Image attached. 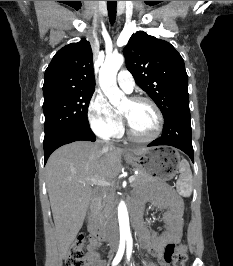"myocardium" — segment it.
Here are the masks:
<instances>
[{"mask_svg": "<svg viewBox=\"0 0 233 266\" xmlns=\"http://www.w3.org/2000/svg\"><path fill=\"white\" fill-rule=\"evenodd\" d=\"M129 101L133 103L144 102V103L150 104L153 107L156 113V116H157V126L152 135L147 136V137H140L133 132L127 117L121 112V115L125 122V128H126V133L128 137L132 141L138 142V143H149V142L156 140L161 135L163 127H164V116H163V113L160 107L157 105V103L154 100L148 97H144V96H134V97L129 98Z\"/></svg>", "mask_w": 233, "mask_h": 266, "instance_id": "f54148a6", "label": "myocardium"}]
</instances>
